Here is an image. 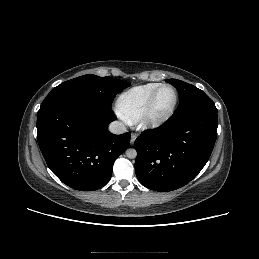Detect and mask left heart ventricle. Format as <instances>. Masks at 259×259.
<instances>
[{
  "label": "left heart ventricle",
  "instance_id": "b2bd125f",
  "mask_svg": "<svg viewBox=\"0 0 259 259\" xmlns=\"http://www.w3.org/2000/svg\"><path fill=\"white\" fill-rule=\"evenodd\" d=\"M174 100V93L170 88L162 89L155 101L154 111L156 114L166 112L172 105Z\"/></svg>",
  "mask_w": 259,
  "mask_h": 259
}]
</instances>
